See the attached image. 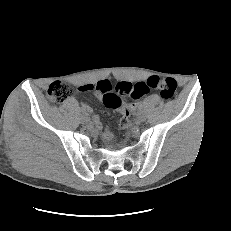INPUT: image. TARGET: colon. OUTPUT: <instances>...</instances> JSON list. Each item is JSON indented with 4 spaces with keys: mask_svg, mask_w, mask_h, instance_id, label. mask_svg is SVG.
Listing matches in <instances>:
<instances>
[{
    "mask_svg": "<svg viewBox=\"0 0 231 231\" xmlns=\"http://www.w3.org/2000/svg\"><path fill=\"white\" fill-rule=\"evenodd\" d=\"M94 89L103 96L106 106L119 110V126L122 129H127L131 125V111L122 107V96L138 99L150 90H156L167 101H173L176 97L177 83L170 77L151 76L144 82H120L116 84L114 90L108 80H103L96 83ZM71 94L72 89L68 84L56 81L48 87L46 97L51 103L59 104L69 98Z\"/></svg>",
    "mask_w": 231,
    "mask_h": 231,
    "instance_id": "1",
    "label": "colon"
}]
</instances>
